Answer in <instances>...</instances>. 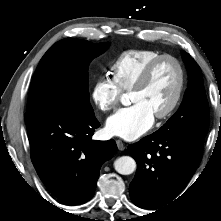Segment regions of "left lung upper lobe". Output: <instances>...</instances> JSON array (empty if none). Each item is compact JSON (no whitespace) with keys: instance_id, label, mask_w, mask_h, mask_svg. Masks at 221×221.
Returning <instances> with one entry per match:
<instances>
[{"instance_id":"obj_1","label":"left lung upper lobe","mask_w":221,"mask_h":221,"mask_svg":"<svg viewBox=\"0 0 221 221\" xmlns=\"http://www.w3.org/2000/svg\"><path fill=\"white\" fill-rule=\"evenodd\" d=\"M189 73L188 89L177 112L156 133L197 132L206 135L209 127V106L202 73L191 56L183 52Z\"/></svg>"}]
</instances>
